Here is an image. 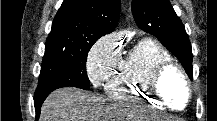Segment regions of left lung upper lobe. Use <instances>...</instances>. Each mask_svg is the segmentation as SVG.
Listing matches in <instances>:
<instances>
[{
    "instance_id": "1",
    "label": "left lung upper lobe",
    "mask_w": 217,
    "mask_h": 121,
    "mask_svg": "<svg viewBox=\"0 0 217 121\" xmlns=\"http://www.w3.org/2000/svg\"><path fill=\"white\" fill-rule=\"evenodd\" d=\"M132 13L138 27L157 37L193 79L191 44L169 0H133Z\"/></svg>"
}]
</instances>
